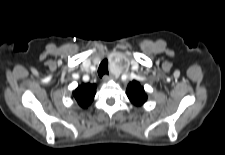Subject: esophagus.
I'll return each instance as SVG.
<instances>
[{"mask_svg": "<svg viewBox=\"0 0 225 155\" xmlns=\"http://www.w3.org/2000/svg\"><path fill=\"white\" fill-rule=\"evenodd\" d=\"M110 79H112V75H104L103 78H102L103 82H107Z\"/></svg>", "mask_w": 225, "mask_h": 155, "instance_id": "34e87169", "label": "esophagus"}]
</instances>
